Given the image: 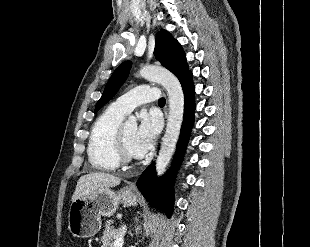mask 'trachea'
Instances as JSON below:
<instances>
[{
	"label": "trachea",
	"mask_w": 310,
	"mask_h": 247,
	"mask_svg": "<svg viewBox=\"0 0 310 247\" xmlns=\"http://www.w3.org/2000/svg\"><path fill=\"white\" fill-rule=\"evenodd\" d=\"M165 103H166L165 98H160V99L158 100V104H159V105H165Z\"/></svg>",
	"instance_id": "trachea-1"
}]
</instances>
